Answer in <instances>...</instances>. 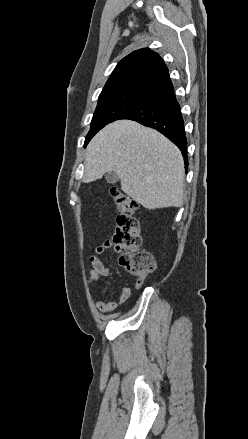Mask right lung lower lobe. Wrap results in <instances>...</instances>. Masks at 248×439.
Returning <instances> with one entry per match:
<instances>
[{
  "mask_svg": "<svg viewBox=\"0 0 248 439\" xmlns=\"http://www.w3.org/2000/svg\"><path fill=\"white\" fill-rule=\"evenodd\" d=\"M120 119L134 120L165 135L180 149L187 170V139L184 122L173 86L150 97Z\"/></svg>",
  "mask_w": 248,
  "mask_h": 439,
  "instance_id": "98d812e1",
  "label": "right lung lower lobe"
}]
</instances>
